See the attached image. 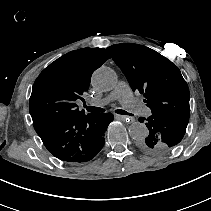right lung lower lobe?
Returning <instances> with one entry per match:
<instances>
[{
    "label": "right lung lower lobe",
    "mask_w": 211,
    "mask_h": 211,
    "mask_svg": "<svg viewBox=\"0 0 211 211\" xmlns=\"http://www.w3.org/2000/svg\"><path fill=\"white\" fill-rule=\"evenodd\" d=\"M113 118L112 113L83 114L47 127L37 134L56 158L68 163L87 162L102 149L104 133Z\"/></svg>",
    "instance_id": "98d812e1"
}]
</instances>
